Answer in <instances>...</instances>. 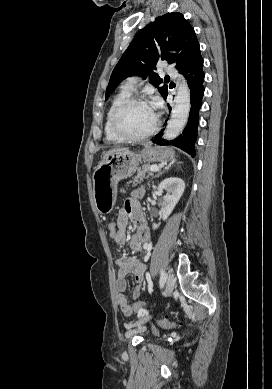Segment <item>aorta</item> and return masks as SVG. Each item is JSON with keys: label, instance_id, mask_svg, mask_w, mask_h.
I'll use <instances>...</instances> for the list:
<instances>
[{"label": "aorta", "instance_id": "aorta-1", "mask_svg": "<svg viewBox=\"0 0 272 389\" xmlns=\"http://www.w3.org/2000/svg\"><path fill=\"white\" fill-rule=\"evenodd\" d=\"M190 90L185 80L178 85L175 106L164 132V139H175L185 126L190 112Z\"/></svg>", "mask_w": 272, "mask_h": 389}]
</instances>
